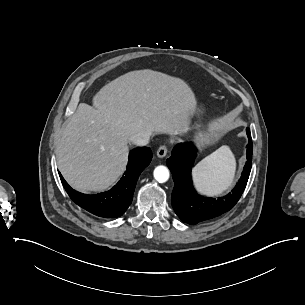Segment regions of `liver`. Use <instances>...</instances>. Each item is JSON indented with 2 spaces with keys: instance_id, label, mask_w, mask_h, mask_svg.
I'll list each match as a JSON object with an SVG mask.
<instances>
[{
  "instance_id": "liver-1",
  "label": "liver",
  "mask_w": 305,
  "mask_h": 305,
  "mask_svg": "<svg viewBox=\"0 0 305 305\" xmlns=\"http://www.w3.org/2000/svg\"><path fill=\"white\" fill-rule=\"evenodd\" d=\"M80 103L58 144V168L77 191H103L124 173L130 137L188 131L196 107L180 78L150 69L128 72Z\"/></svg>"
}]
</instances>
